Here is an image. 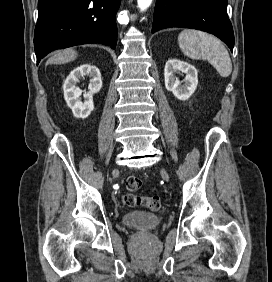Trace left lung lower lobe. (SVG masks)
Instances as JSON below:
<instances>
[{
  "mask_svg": "<svg viewBox=\"0 0 272 282\" xmlns=\"http://www.w3.org/2000/svg\"><path fill=\"white\" fill-rule=\"evenodd\" d=\"M228 0H156L152 32L184 27L212 33L233 51L234 34L226 13Z\"/></svg>",
  "mask_w": 272,
  "mask_h": 282,
  "instance_id": "0a47b994",
  "label": "left lung lower lobe"
}]
</instances>
